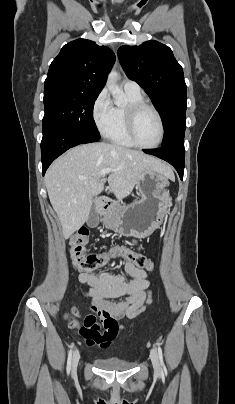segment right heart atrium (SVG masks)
<instances>
[{
    "label": "right heart atrium",
    "instance_id": "right-heart-atrium-1",
    "mask_svg": "<svg viewBox=\"0 0 235 404\" xmlns=\"http://www.w3.org/2000/svg\"><path fill=\"white\" fill-rule=\"evenodd\" d=\"M113 105L106 89H103L96 96L92 104V117L96 127L104 133L109 126Z\"/></svg>",
    "mask_w": 235,
    "mask_h": 404
}]
</instances>
